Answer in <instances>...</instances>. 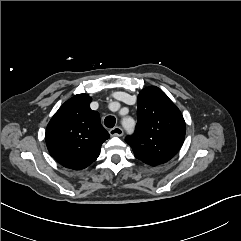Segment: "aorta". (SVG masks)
Here are the masks:
<instances>
[{
  "mask_svg": "<svg viewBox=\"0 0 241 241\" xmlns=\"http://www.w3.org/2000/svg\"><path fill=\"white\" fill-rule=\"evenodd\" d=\"M130 120V122L132 123V125L131 126H128V124H127V122ZM128 121L127 120H124L123 121V127L128 131V132H130L132 129H133V120L132 119H128Z\"/></svg>",
  "mask_w": 241,
  "mask_h": 241,
  "instance_id": "762f6f07",
  "label": "aorta"
}]
</instances>
